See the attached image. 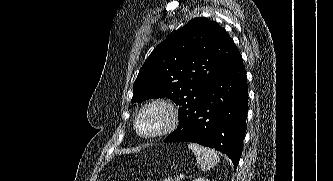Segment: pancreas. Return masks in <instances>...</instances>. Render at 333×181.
Instances as JSON below:
<instances>
[{"instance_id": "pancreas-1", "label": "pancreas", "mask_w": 333, "mask_h": 181, "mask_svg": "<svg viewBox=\"0 0 333 181\" xmlns=\"http://www.w3.org/2000/svg\"><path fill=\"white\" fill-rule=\"evenodd\" d=\"M164 181H174L173 178H166Z\"/></svg>"}]
</instances>
